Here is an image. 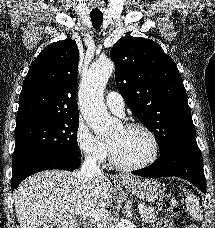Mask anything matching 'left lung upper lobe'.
I'll return each instance as SVG.
<instances>
[{
	"label": "left lung upper lobe",
	"instance_id": "5c2ea615",
	"mask_svg": "<svg viewBox=\"0 0 215 228\" xmlns=\"http://www.w3.org/2000/svg\"><path fill=\"white\" fill-rule=\"evenodd\" d=\"M116 85L133 114L150 129L160 154L195 137L187 94L176 63L149 39L122 37L112 47Z\"/></svg>",
	"mask_w": 215,
	"mask_h": 228
}]
</instances>
